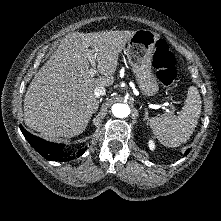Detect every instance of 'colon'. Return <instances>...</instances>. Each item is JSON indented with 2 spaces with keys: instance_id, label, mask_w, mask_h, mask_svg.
Masks as SVG:
<instances>
[{
  "instance_id": "colon-1",
  "label": "colon",
  "mask_w": 221,
  "mask_h": 221,
  "mask_svg": "<svg viewBox=\"0 0 221 221\" xmlns=\"http://www.w3.org/2000/svg\"><path fill=\"white\" fill-rule=\"evenodd\" d=\"M153 66L156 76L164 86H173L176 79L175 58L168 43L159 39L155 45Z\"/></svg>"
}]
</instances>
